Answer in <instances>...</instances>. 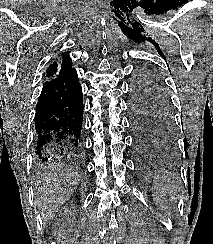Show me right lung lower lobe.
Wrapping results in <instances>:
<instances>
[{
    "label": "right lung lower lobe",
    "mask_w": 213,
    "mask_h": 244,
    "mask_svg": "<svg viewBox=\"0 0 213 244\" xmlns=\"http://www.w3.org/2000/svg\"><path fill=\"white\" fill-rule=\"evenodd\" d=\"M82 119V88L76 71L45 82L35 114L40 160H79L83 152Z\"/></svg>",
    "instance_id": "obj_1"
}]
</instances>
